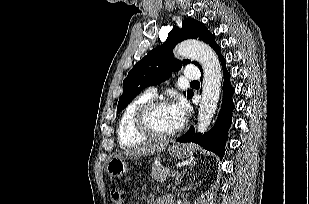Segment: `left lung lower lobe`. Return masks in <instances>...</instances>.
Instances as JSON below:
<instances>
[{"instance_id":"left-lung-lower-lobe-1","label":"left lung lower lobe","mask_w":309,"mask_h":204,"mask_svg":"<svg viewBox=\"0 0 309 204\" xmlns=\"http://www.w3.org/2000/svg\"><path fill=\"white\" fill-rule=\"evenodd\" d=\"M217 55L222 64L224 83L223 101L216 124L211 131L204 133L203 135L201 133H196L194 127L191 126L190 129L184 135L177 138L176 141L197 143L203 148L217 153L222 157L224 155V146L227 140L228 129L231 125L232 110L234 108L232 101L234 89L230 83V74L226 69V60L222 56L220 49L218 50Z\"/></svg>"}]
</instances>
